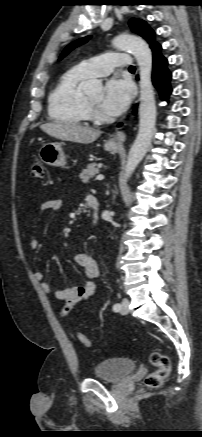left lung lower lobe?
<instances>
[{
    "instance_id": "left-lung-lower-lobe-1",
    "label": "left lung lower lobe",
    "mask_w": 202,
    "mask_h": 437,
    "mask_svg": "<svg viewBox=\"0 0 202 437\" xmlns=\"http://www.w3.org/2000/svg\"><path fill=\"white\" fill-rule=\"evenodd\" d=\"M161 46L158 44L152 49L153 55V72L152 81L154 86L158 89L161 99H168L171 93V72L167 68V59L160 53ZM134 112H136V107Z\"/></svg>"
}]
</instances>
